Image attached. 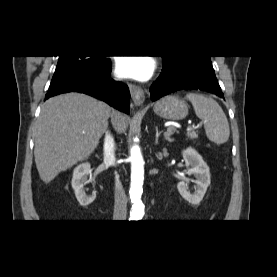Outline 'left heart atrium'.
<instances>
[{"label": "left heart atrium", "instance_id": "obj_1", "mask_svg": "<svg viewBox=\"0 0 277 277\" xmlns=\"http://www.w3.org/2000/svg\"><path fill=\"white\" fill-rule=\"evenodd\" d=\"M116 69L123 77L146 80L154 70V63L148 57H123L117 60Z\"/></svg>", "mask_w": 277, "mask_h": 277}]
</instances>
